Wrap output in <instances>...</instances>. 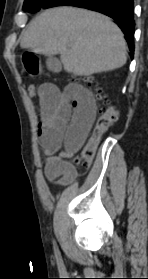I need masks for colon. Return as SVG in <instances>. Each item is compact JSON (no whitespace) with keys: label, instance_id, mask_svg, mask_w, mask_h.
Wrapping results in <instances>:
<instances>
[{"label":"colon","instance_id":"1","mask_svg":"<svg viewBox=\"0 0 148 279\" xmlns=\"http://www.w3.org/2000/svg\"><path fill=\"white\" fill-rule=\"evenodd\" d=\"M82 81L88 86H95L97 91V99L107 102L106 96L94 76H84ZM27 92L32 97L36 96L38 87L34 84H31L27 87ZM117 119L118 114L113 106L106 104V106L101 109L100 115L95 122L91 138L74 160L77 166L81 168H87L90 166L102 135L116 123Z\"/></svg>","mask_w":148,"mask_h":279}]
</instances>
